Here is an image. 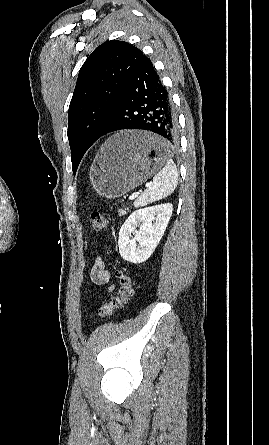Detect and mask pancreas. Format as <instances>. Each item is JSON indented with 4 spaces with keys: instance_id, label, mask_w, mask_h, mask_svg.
<instances>
[{
    "instance_id": "pancreas-1",
    "label": "pancreas",
    "mask_w": 269,
    "mask_h": 445,
    "mask_svg": "<svg viewBox=\"0 0 269 445\" xmlns=\"http://www.w3.org/2000/svg\"><path fill=\"white\" fill-rule=\"evenodd\" d=\"M127 210H129V208H125V210L124 209H119V215L120 216H123V215H125L126 213H127Z\"/></svg>"
}]
</instances>
